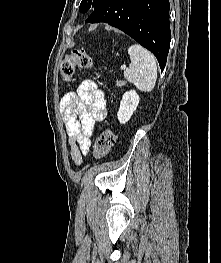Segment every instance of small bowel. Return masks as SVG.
<instances>
[{"instance_id": "obj_1", "label": "small bowel", "mask_w": 221, "mask_h": 263, "mask_svg": "<svg viewBox=\"0 0 221 263\" xmlns=\"http://www.w3.org/2000/svg\"><path fill=\"white\" fill-rule=\"evenodd\" d=\"M60 111L68 135L70 159L80 166L90 150L95 123L106 117L104 93L94 81L84 80L75 92L62 96Z\"/></svg>"}]
</instances>
